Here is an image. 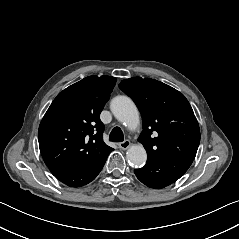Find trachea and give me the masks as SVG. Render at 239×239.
<instances>
[{
  "instance_id": "1",
  "label": "trachea",
  "mask_w": 239,
  "mask_h": 239,
  "mask_svg": "<svg viewBox=\"0 0 239 239\" xmlns=\"http://www.w3.org/2000/svg\"><path fill=\"white\" fill-rule=\"evenodd\" d=\"M124 140V134L119 127L113 128L109 135V141L122 142Z\"/></svg>"
}]
</instances>
